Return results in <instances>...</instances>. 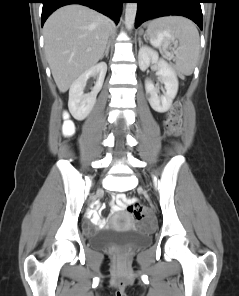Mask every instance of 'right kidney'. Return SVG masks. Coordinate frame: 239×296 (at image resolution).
<instances>
[{
	"instance_id": "ca27d5eb",
	"label": "right kidney",
	"mask_w": 239,
	"mask_h": 296,
	"mask_svg": "<svg viewBox=\"0 0 239 296\" xmlns=\"http://www.w3.org/2000/svg\"><path fill=\"white\" fill-rule=\"evenodd\" d=\"M107 72V64L100 62L82 73L71 85L69 90L68 108L77 120L85 119L96 103V96L101 90ZM90 77H97L92 91L84 94V88Z\"/></svg>"
}]
</instances>
